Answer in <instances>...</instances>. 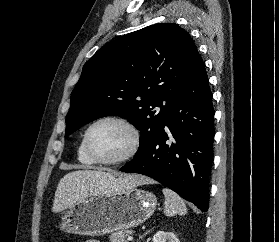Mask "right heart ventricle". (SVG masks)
<instances>
[{
  "label": "right heart ventricle",
  "instance_id": "e07e8e85",
  "mask_svg": "<svg viewBox=\"0 0 279 242\" xmlns=\"http://www.w3.org/2000/svg\"><path fill=\"white\" fill-rule=\"evenodd\" d=\"M77 160L86 166H92L95 163L88 157V155L85 152L84 144H83V138L81 139L78 148H77Z\"/></svg>",
  "mask_w": 279,
  "mask_h": 242
}]
</instances>
